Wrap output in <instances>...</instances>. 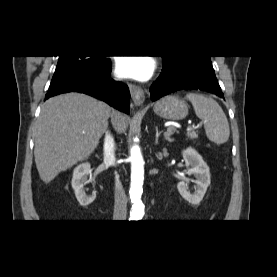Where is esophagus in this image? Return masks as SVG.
<instances>
[{"label": "esophagus", "instance_id": "34e87169", "mask_svg": "<svg viewBox=\"0 0 277 277\" xmlns=\"http://www.w3.org/2000/svg\"><path fill=\"white\" fill-rule=\"evenodd\" d=\"M128 86H129L130 94L134 104L135 105L143 104V102L145 101V94L143 89L131 83Z\"/></svg>", "mask_w": 277, "mask_h": 277}]
</instances>
